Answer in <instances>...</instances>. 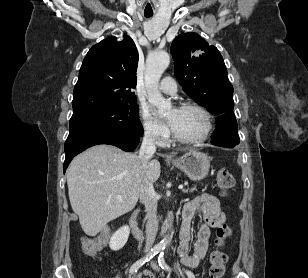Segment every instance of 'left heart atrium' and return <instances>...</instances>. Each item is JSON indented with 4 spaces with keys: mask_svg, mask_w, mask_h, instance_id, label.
Instances as JSON below:
<instances>
[{
    "mask_svg": "<svg viewBox=\"0 0 308 278\" xmlns=\"http://www.w3.org/2000/svg\"><path fill=\"white\" fill-rule=\"evenodd\" d=\"M178 109H174V115L169 118L168 120V124L173 128L174 124H175V117H176V113H177Z\"/></svg>",
    "mask_w": 308,
    "mask_h": 278,
    "instance_id": "1",
    "label": "left heart atrium"
}]
</instances>
